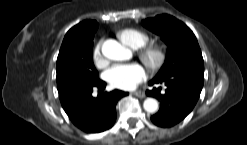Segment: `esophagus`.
Listing matches in <instances>:
<instances>
[{
	"label": "esophagus",
	"instance_id": "obj_1",
	"mask_svg": "<svg viewBox=\"0 0 247 145\" xmlns=\"http://www.w3.org/2000/svg\"><path fill=\"white\" fill-rule=\"evenodd\" d=\"M133 94L135 96H137L138 98H144L145 97V93L143 91H135V92H133Z\"/></svg>",
	"mask_w": 247,
	"mask_h": 145
}]
</instances>
